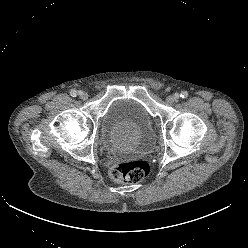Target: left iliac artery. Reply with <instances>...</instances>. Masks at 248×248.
Masks as SVG:
<instances>
[{"label": "left iliac artery", "mask_w": 248, "mask_h": 248, "mask_svg": "<svg viewBox=\"0 0 248 248\" xmlns=\"http://www.w3.org/2000/svg\"><path fill=\"white\" fill-rule=\"evenodd\" d=\"M175 97H176V99H178L179 97H181V98H187L188 97V93H187V91H183V92H181V94L180 95H176L175 94Z\"/></svg>", "instance_id": "1"}]
</instances>
